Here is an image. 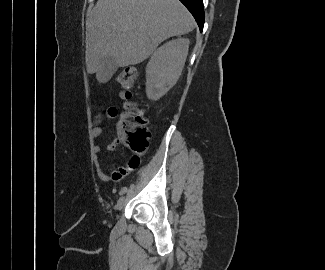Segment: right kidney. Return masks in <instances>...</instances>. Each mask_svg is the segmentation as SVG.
I'll return each mask as SVG.
<instances>
[{
  "label": "right kidney",
  "mask_w": 325,
  "mask_h": 270,
  "mask_svg": "<svg viewBox=\"0 0 325 270\" xmlns=\"http://www.w3.org/2000/svg\"><path fill=\"white\" fill-rule=\"evenodd\" d=\"M189 39L179 38L161 46L146 68V93L158 100L179 79L188 54Z\"/></svg>",
  "instance_id": "1"
}]
</instances>
